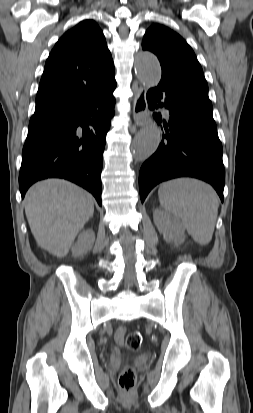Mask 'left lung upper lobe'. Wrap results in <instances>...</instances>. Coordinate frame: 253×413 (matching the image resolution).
Masks as SVG:
<instances>
[{
	"mask_svg": "<svg viewBox=\"0 0 253 413\" xmlns=\"http://www.w3.org/2000/svg\"><path fill=\"white\" fill-rule=\"evenodd\" d=\"M142 48L157 55L162 68L160 83L209 99L203 70L193 50L179 34L163 25L153 24L143 37Z\"/></svg>",
	"mask_w": 253,
	"mask_h": 413,
	"instance_id": "1",
	"label": "left lung upper lobe"
}]
</instances>
